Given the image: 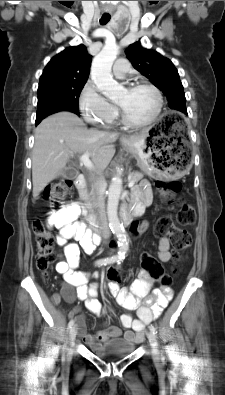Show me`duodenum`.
Instances as JSON below:
<instances>
[{
    "mask_svg": "<svg viewBox=\"0 0 225 395\" xmlns=\"http://www.w3.org/2000/svg\"><path fill=\"white\" fill-rule=\"evenodd\" d=\"M75 185H76V187H77V189L79 191H83L84 190V188H85V178H84L83 175L77 176V178L75 180ZM133 215H139V213L137 212L136 209H125L121 213V217L123 219V222L125 224H129L131 222V219H132ZM89 222H90L91 228L97 234V237L100 234L104 233L103 226H102L101 222L97 218H95L93 216H90Z\"/></svg>",
    "mask_w": 225,
    "mask_h": 395,
    "instance_id": "obj_1",
    "label": "duodenum"
}]
</instances>
